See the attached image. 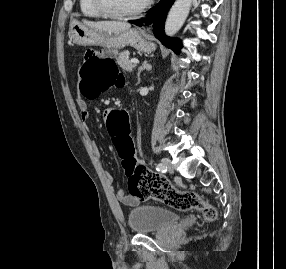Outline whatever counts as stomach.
<instances>
[{
    "label": "stomach",
    "instance_id": "1",
    "mask_svg": "<svg viewBox=\"0 0 286 269\" xmlns=\"http://www.w3.org/2000/svg\"><path fill=\"white\" fill-rule=\"evenodd\" d=\"M70 40L81 46H101L105 49H120L130 45L142 52H151L155 44L149 41L145 34L137 28L126 30L119 34L103 32L72 20L69 27Z\"/></svg>",
    "mask_w": 286,
    "mask_h": 269
}]
</instances>
